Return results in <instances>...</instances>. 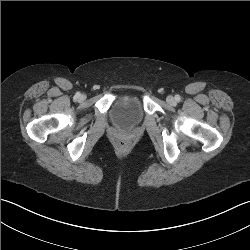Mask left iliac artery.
I'll return each instance as SVG.
<instances>
[{"label":"left iliac artery","instance_id":"obj_1","mask_svg":"<svg viewBox=\"0 0 250 250\" xmlns=\"http://www.w3.org/2000/svg\"><path fill=\"white\" fill-rule=\"evenodd\" d=\"M175 99H176L177 101H179V100H180V96H179V95H176V96H175Z\"/></svg>","mask_w":250,"mask_h":250}]
</instances>
